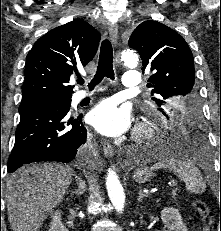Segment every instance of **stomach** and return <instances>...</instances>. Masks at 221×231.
Here are the masks:
<instances>
[{
  "label": "stomach",
  "instance_id": "0dacf381",
  "mask_svg": "<svg viewBox=\"0 0 221 231\" xmlns=\"http://www.w3.org/2000/svg\"><path fill=\"white\" fill-rule=\"evenodd\" d=\"M153 176V173L146 168L137 169L133 174V178L139 183H146L150 181Z\"/></svg>",
  "mask_w": 221,
  "mask_h": 231
}]
</instances>
